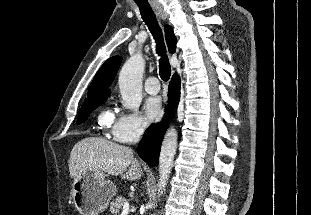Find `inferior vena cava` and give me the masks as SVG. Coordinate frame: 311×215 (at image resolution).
Here are the masks:
<instances>
[{"label":"inferior vena cava","instance_id":"inferior-vena-cava-1","mask_svg":"<svg viewBox=\"0 0 311 215\" xmlns=\"http://www.w3.org/2000/svg\"><path fill=\"white\" fill-rule=\"evenodd\" d=\"M143 133V129L138 127L134 130V134H133V139H134V143H137L140 140V136Z\"/></svg>","mask_w":311,"mask_h":215}]
</instances>
